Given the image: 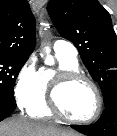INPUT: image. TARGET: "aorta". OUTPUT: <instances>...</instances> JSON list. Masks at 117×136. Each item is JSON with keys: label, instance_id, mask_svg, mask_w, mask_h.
I'll list each match as a JSON object with an SVG mask.
<instances>
[{"label": "aorta", "instance_id": "762f6f07", "mask_svg": "<svg viewBox=\"0 0 117 136\" xmlns=\"http://www.w3.org/2000/svg\"><path fill=\"white\" fill-rule=\"evenodd\" d=\"M45 51L47 53V57L45 59V63L47 65H52L53 64V58L49 55L50 49L48 47L45 48Z\"/></svg>", "mask_w": 117, "mask_h": 136}]
</instances>
